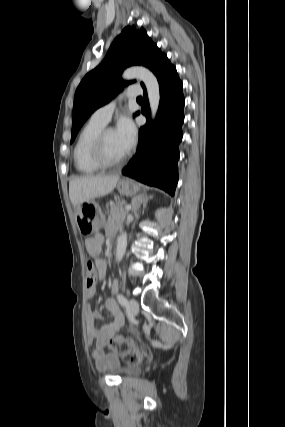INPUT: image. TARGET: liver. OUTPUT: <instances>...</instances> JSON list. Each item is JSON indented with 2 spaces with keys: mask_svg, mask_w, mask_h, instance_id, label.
Segmentation results:
<instances>
[{
  "mask_svg": "<svg viewBox=\"0 0 285 427\" xmlns=\"http://www.w3.org/2000/svg\"><path fill=\"white\" fill-rule=\"evenodd\" d=\"M118 181V175L75 177L69 183L71 203L78 208L83 203L107 195L114 190Z\"/></svg>",
  "mask_w": 285,
  "mask_h": 427,
  "instance_id": "6515ba94",
  "label": "liver"
}]
</instances>
